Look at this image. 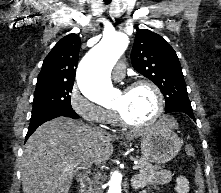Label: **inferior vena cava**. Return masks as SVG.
I'll use <instances>...</instances> for the list:
<instances>
[{
	"label": "inferior vena cava",
	"mask_w": 221,
	"mask_h": 193,
	"mask_svg": "<svg viewBox=\"0 0 221 193\" xmlns=\"http://www.w3.org/2000/svg\"><path fill=\"white\" fill-rule=\"evenodd\" d=\"M93 183H94V185H93L94 186V192L93 193H102V191L99 187V180H98L97 177L94 178Z\"/></svg>",
	"instance_id": "obj_1"
}]
</instances>
